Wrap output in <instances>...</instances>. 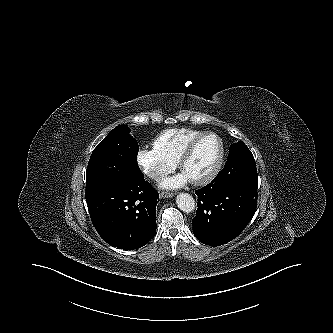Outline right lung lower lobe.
Masks as SVG:
<instances>
[{
    "label": "right lung lower lobe",
    "mask_w": 333,
    "mask_h": 333,
    "mask_svg": "<svg viewBox=\"0 0 333 333\" xmlns=\"http://www.w3.org/2000/svg\"><path fill=\"white\" fill-rule=\"evenodd\" d=\"M86 201L95 229L113 247L140 248L156 232L158 193L144 177L89 194Z\"/></svg>",
    "instance_id": "1"
}]
</instances>
